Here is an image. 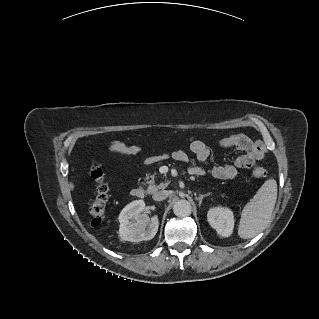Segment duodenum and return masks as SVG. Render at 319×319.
<instances>
[{"mask_svg":"<svg viewBox=\"0 0 319 319\" xmlns=\"http://www.w3.org/2000/svg\"><path fill=\"white\" fill-rule=\"evenodd\" d=\"M131 195L134 198L142 199V198L145 197V189L142 188V187H135V188L132 189Z\"/></svg>","mask_w":319,"mask_h":319,"instance_id":"410a0bca","label":"duodenum"}]
</instances>
